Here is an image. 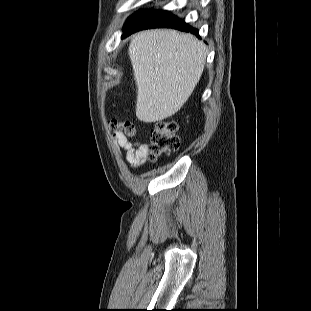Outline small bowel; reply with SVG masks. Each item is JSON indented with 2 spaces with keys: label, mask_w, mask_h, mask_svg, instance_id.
<instances>
[{
  "label": "small bowel",
  "mask_w": 311,
  "mask_h": 311,
  "mask_svg": "<svg viewBox=\"0 0 311 311\" xmlns=\"http://www.w3.org/2000/svg\"><path fill=\"white\" fill-rule=\"evenodd\" d=\"M114 145L126 152V161L132 168L144 164L149 155V147L145 143L131 141L123 132H116L113 136Z\"/></svg>",
  "instance_id": "c3829d8e"
}]
</instances>
